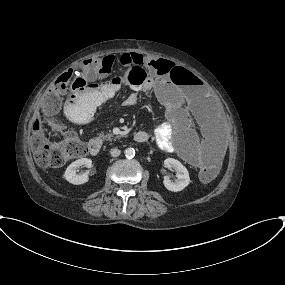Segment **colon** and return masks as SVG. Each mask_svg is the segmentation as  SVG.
<instances>
[{"instance_id":"obj_1","label":"colon","mask_w":285,"mask_h":285,"mask_svg":"<svg viewBox=\"0 0 285 285\" xmlns=\"http://www.w3.org/2000/svg\"><path fill=\"white\" fill-rule=\"evenodd\" d=\"M119 64V59L114 56L90 59L80 71L75 73L69 71L57 78L52 88L39 102V116L34 122L30 137L33 157L38 165L43 167L61 166L72 159L84 157L87 154L86 145L74 131H69L66 136L59 135L55 115L60 110L62 97L68 90H75L91 80L104 78L111 74ZM151 64L157 68L159 74L170 76L175 84L181 87L187 86L192 77L187 70L170 61L160 59L150 63L144 61L126 63V70L117 78V81L136 88H143L148 84L146 68ZM46 126L53 129L51 135L46 134ZM219 169L220 163L214 162L203 167L200 176L202 180L209 181L217 175Z\"/></svg>"}]
</instances>
